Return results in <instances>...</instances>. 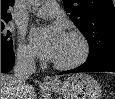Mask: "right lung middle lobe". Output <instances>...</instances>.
Returning <instances> with one entry per match:
<instances>
[{"instance_id":"1","label":"right lung middle lobe","mask_w":115,"mask_h":99,"mask_svg":"<svg viewBox=\"0 0 115 99\" xmlns=\"http://www.w3.org/2000/svg\"><path fill=\"white\" fill-rule=\"evenodd\" d=\"M6 23H1V52H13L11 33L5 29Z\"/></svg>"}]
</instances>
